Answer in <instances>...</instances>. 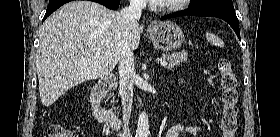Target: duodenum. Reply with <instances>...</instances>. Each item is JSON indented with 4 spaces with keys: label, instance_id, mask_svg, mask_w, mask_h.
Instances as JSON below:
<instances>
[{
    "label": "duodenum",
    "instance_id": "410a0bca",
    "mask_svg": "<svg viewBox=\"0 0 280 137\" xmlns=\"http://www.w3.org/2000/svg\"><path fill=\"white\" fill-rule=\"evenodd\" d=\"M115 79L113 77H103L94 87L90 96V108L93 117L106 127L120 131L123 127V121L108 111L104 105V99L110 89L113 88ZM160 114V109L155 106L151 112V118L156 120Z\"/></svg>",
    "mask_w": 280,
    "mask_h": 137
}]
</instances>
